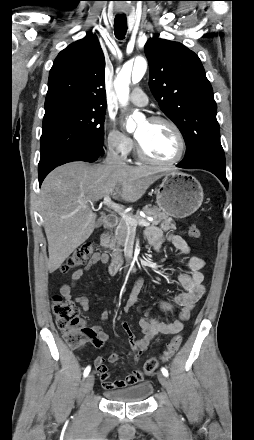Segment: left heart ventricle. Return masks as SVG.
<instances>
[{
	"instance_id": "b2bd125f",
	"label": "left heart ventricle",
	"mask_w": 254,
	"mask_h": 440,
	"mask_svg": "<svg viewBox=\"0 0 254 440\" xmlns=\"http://www.w3.org/2000/svg\"><path fill=\"white\" fill-rule=\"evenodd\" d=\"M136 137L145 152L154 159L168 161L178 154V138L175 132L164 123L144 121L138 126Z\"/></svg>"
}]
</instances>
